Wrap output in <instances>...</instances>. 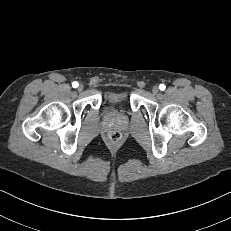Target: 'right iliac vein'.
Here are the masks:
<instances>
[{"label":"right iliac vein","mask_w":231,"mask_h":231,"mask_svg":"<svg viewBox=\"0 0 231 231\" xmlns=\"http://www.w3.org/2000/svg\"><path fill=\"white\" fill-rule=\"evenodd\" d=\"M83 88H84V87H83V85H82V84H80V85H79V87H78V90H79V91H82V90H83Z\"/></svg>","instance_id":"1"}]
</instances>
